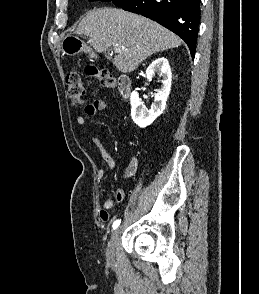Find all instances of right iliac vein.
<instances>
[{"mask_svg": "<svg viewBox=\"0 0 259 294\" xmlns=\"http://www.w3.org/2000/svg\"><path fill=\"white\" fill-rule=\"evenodd\" d=\"M120 230H121V227H118L117 229H115V231L112 233L110 240L108 242L106 256H107V259L110 261L113 260L114 258L115 244L117 242Z\"/></svg>", "mask_w": 259, "mask_h": 294, "instance_id": "right-iliac-vein-1", "label": "right iliac vein"}]
</instances>
